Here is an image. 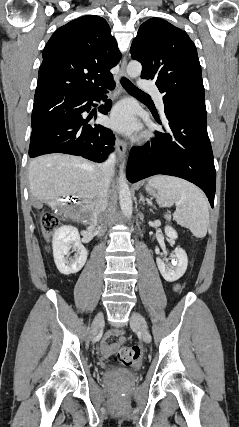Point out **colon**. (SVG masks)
<instances>
[{
    "instance_id": "1",
    "label": "colon",
    "mask_w": 239,
    "mask_h": 427,
    "mask_svg": "<svg viewBox=\"0 0 239 427\" xmlns=\"http://www.w3.org/2000/svg\"><path fill=\"white\" fill-rule=\"evenodd\" d=\"M39 222L44 235L51 234L58 226L57 219L50 213L42 214ZM140 355L141 349L137 345L123 347L116 352L114 360L120 365L131 366L137 362Z\"/></svg>"
}]
</instances>
